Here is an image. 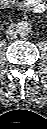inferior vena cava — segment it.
<instances>
[{"label": "inferior vena cava", "mask_w": 47, "mask_h": 129, "mask_svg": "<svg viewBox=\"0 0 47 129\" xmlns=\"http://www.w3.org/2000/svg\"><path fill=\"white\" fill-rule=\"evenodd\" d=\"M16 35H17V30H16L15 28L12 27V28H9V29L7 30V37H8L9 39L15 38Z\"/></svg>", "instance_id": "inferior-vena-cava-1"}]
</instances>
